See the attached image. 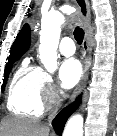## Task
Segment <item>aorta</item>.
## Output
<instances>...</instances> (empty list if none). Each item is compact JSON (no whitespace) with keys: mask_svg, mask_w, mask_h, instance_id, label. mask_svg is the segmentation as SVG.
Returning <instances> with one entry per match:
<instances>
[{"mask_svg":"<svg viewBox=\"0 0 117 136\" xmlns=\"http://www.w3.org/2000/svg\"><path fill=\"white\" fill-rule=\"evenodd\" d=\"M65 17L59 11H52L42 17L39 54L40 60L49 72L57 68V48L61 25ZM83 116L73 115L67 122L62 136H83Z\"/></svg>","mask_w":117,"mask_h":136,"instance_id":"762f6f07","label":"aorta"}]
</instances>
